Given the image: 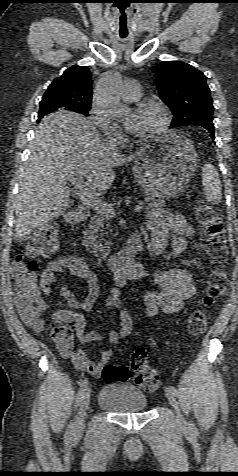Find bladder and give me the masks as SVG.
Here are the masks:
<instances>
[{"instance_id":"bladder-1","label":"bladder","mask_w":238,"mask_h":476,"mask_svg":"<svg viewBox=\"0 0 238 476\" xmlns=\"http://www.w3.org/2000/svg\"><path fill=\"white\" fill-rule=\"evenodd\" d=\"M98 405L113 413L131 414L145 411L148 400L139 387L109 382L99 392Z\"/></svg>"}]
</instances>
